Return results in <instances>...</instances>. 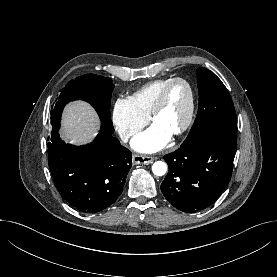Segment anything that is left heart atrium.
<instances>
[{
  "label": "left heart atrium",
  "mask_w": 277,
  "mask_h": 277,
  "mask_svg": "<svg viewBox=\"0 0 277 277\" xmlns=\"http://www.w3.org/2000/svg\"><path fill=\"white\" fill-rule=\"evenodd\" d=\"M170 139L171 134L154 123L146 131L134 137L131 146L138 152L154 153L163 149Z\"/></svg>",
  "instance_id": "1"
}]
</instances>
